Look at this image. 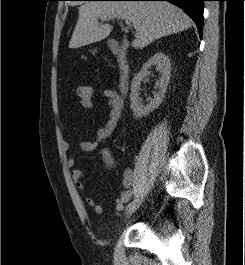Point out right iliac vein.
Masks as SVG:
<instances>
[{"mask_svg": "<svg viewBox=\"0 0 245 265\" xmlns=\"http://www.w3.org/2000/svg\"><path fill=\"white\" fill-rule=\"evenodd\" d=\"M141 203H142V199H140V198L135 199L133 202H131L127 206L125 214L127 216H130L132 213H134L140 207Z\"/></svg>", "mask_w": 245, "mask_h": 265, "instance_id": "right-iliac-vein-1", "label": "right iliac vein"}]
</instances>
